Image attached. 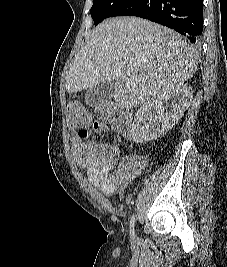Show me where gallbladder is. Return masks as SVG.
Segmentation results:
<instances>
[{"mask_svg": "<svg viewBox=\"0 0 227 267\" xmlns=\"http://www.w3.org/2000/svg\"><path fill=\"white\" fill-rule=\"evenodd\" d=\"M113 92L114 83L103 82L87 90L85 94V103L95 108L102 107L111 99Z\"/></svg>", "mask_w": 227, "mask_h": 267, "instance_id": "1", "label": "gallbladder"}]
</instances>
